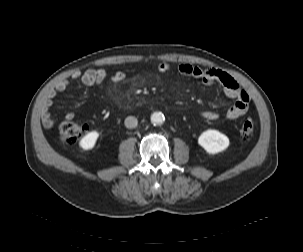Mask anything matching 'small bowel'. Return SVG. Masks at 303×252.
<instances>
[{
	"label": "small bowel",
	"mask_w": 303,
	"mask_h": 252,
	"mask_svg": "<svg viewBox=\"0 0 303 252\" xmlns=\"http://www.w3.org/2000/svg\"><path fill=\"white\" fill-rule=\"evenodd\" d=\"M161 73H168L172 67L167 62H161L158 66ZM176 71L182 76H189L200 80L205 86H211L214 83L221 85L224 94L235 99V103L230 107L224 115L213 110H204L200 113V117L214 124H220L225 121L234 120L237 117L245 114L249 109V95L239 85V83L230 75L215 68H202L199 66L179 63L176 66ZM127 75L123 71H118L111 77L108 76L104 69H89L84 72H75L70 77L58 81L52 90L49 92L42 111V123L45 127H52L55 123V118L51 112L53 100L57 94L62 93L69 86L80 82L85 85H95L99 88H111L118 86L126 79ZM74 114L66 112L65 119H72Z\"/></svg>",
	"instance_id": "small-bowel-1"
}]
</instances>
